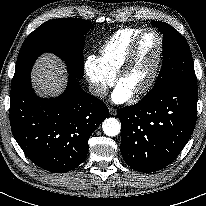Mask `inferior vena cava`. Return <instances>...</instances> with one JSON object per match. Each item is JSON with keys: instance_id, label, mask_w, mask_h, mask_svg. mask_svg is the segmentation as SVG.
I'll return each mask as SVG.
<instances>
[{"instance_id": "obj_1", "label": "inferior vena cava", "mask_w": 206, "mask_h": 206, "mask_svg": "<svg viewBox=\"0 0 206 206\" xmlns=\"http://www.w3.org/2000/svg\"><path fill=\"white\" fill-rule=\"evenodd\" d=\"M89 92L96 97L103 98L107 95V86L101 84H90Z\"/></svg>"}]
</instances>
